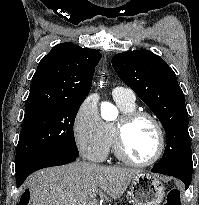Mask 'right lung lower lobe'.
Listing matches in <instances>:
<instances>
[{
  "instance_id": "right-lung-lower-lobe-1",
  "label": "right lung lower lobe",
  "mask_w": 199,
  "mask_h": 205,
  "mask_svg": "<svg viewBox=\"0 0 199 205\" xmlns=\"http://www.w3.org/2000/svg\"><path fill=\"white\" fill-rule=\"evenodd\" d=\"M75 160H76L75 157L52 155V156H47L44 158H40L36 161H33L30 164L23 167L22 169L16 171L17 186L18 187L21 186L23 182L25 181V179L34 171H37L39 169L46 168V167L67 164Z\"/></svg>"
}]
</instances>
